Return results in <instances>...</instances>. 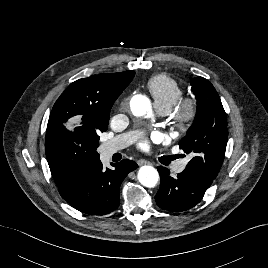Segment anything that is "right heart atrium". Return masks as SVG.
<instances>
[{
    "label": "right heart atrium",
    "mask_w": 268,
    "mask_h": 268,
    "mask_svg": "<svg viewBox=\"0 0 268 268\" xmlns=\"http://www.w3.org/2000/svg\"><path fill=\"white\" fill-rule=\"evenodd\" d=\"M124 108H125V102H122L121 109H124Z\"/></svg>",
    "instance_id": "right-heart-atrium-1"
}]
</instances>
